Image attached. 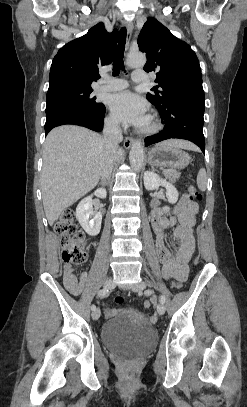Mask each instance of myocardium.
Returning a JSON list of instances; mask_svg holds the SVG:
<instances>
[{
	"instance_id": "myocardium-1",
	"label": "myocardium",
	"mask_w": 247,
	"mask_h": 407,
	"mask_svg": "<svg viewBox=\"0 0 247 407\" xmlns=\"http://www.w3.org/2000/svg\"><path fill=\"white\" fill-rule=\"evenodd\" d=\"M161 128V124L154 117H150L148 123L142 128L144 134H154Z\"/></svg>"
}]
</instances>
